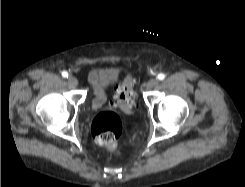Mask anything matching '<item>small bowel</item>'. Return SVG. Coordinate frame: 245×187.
<instances>
[{
	"label": "small bowel",
	"mask_w": 245,
	"mask_h": 187,
	"mask_svg": "<svg viewBox=\"0 0 245 187\" xmlns=\"http://www.w3.org/2000/svg\"><path fill=\"white\" fill-rule=\"evenodd\" d=\"M105 76V71L94 69L90 72V81L92 84L94 99L92 101V107L94 109L100 108L106 102V94L104 91L101 79Z\"/></svg>",
	"instance_id": "c3829d8e"
}]
</instances>
